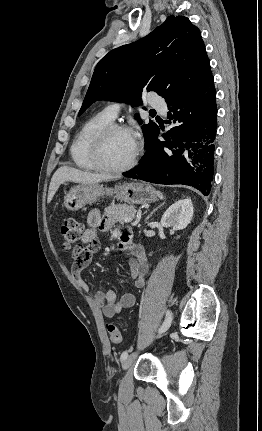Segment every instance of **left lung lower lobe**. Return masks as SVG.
I'll return each mask as SVG.
<instances>
[{"instance_id": "0a47b994", "label": "left lung lower lobe", "mask_w": 262, "mask_h": 431, "mask_svg": "<svg viewBox=\"0 0 262 431\" xmlns=\"http://www.w3.org/2000/svg\"><path fill=\"white\" fill-rule=\"evenodd\" d=\"M168 108L166 123L171 129L162 134L165 141L157 139L158 127L139 165L123 175L157 184L188 185L208 195L217 129L213 77L181 100L168 102Z\"/></svg>"}]
</instances>
